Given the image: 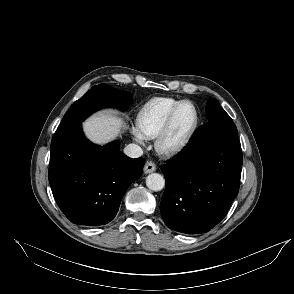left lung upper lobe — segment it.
<instances>
[{
	"label": "left lung upper lobe",
	"instance_id": "obj_1",
	"mask_svg": "<svg viewBox=\"0 0 294 294\" xmlns=\"http://www.w3.org/2000/svg\"><path fill=\"white\" fill-rule=\"evenodd\" d=\"M208 122H233L229 115L223 110L219 102L212 98L206 105Z\"/></svg>",
	"mask_w": 294,
	"mask_h": 294
}]
</instances>
